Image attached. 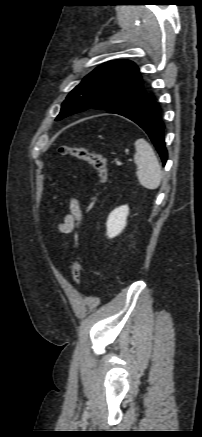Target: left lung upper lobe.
Wrapping results in <instances>:
<instances>
[{
	"label": "left lung upper lobe",
	"instance_id": "obj_1",
	"mask_svg": "<svg viewBox=\"0 0 202 437\" xmlns=\"http://www.w3.org/2000/svg\"><path fill=\"white\" fill-rule=\"evenodd\" d=\"M144 93L139 69L133 62L109 61L88 74L69 93L56 120L88 108L109 111Z\"/></svg>",
	"mask_w": 202,
	"mask_h": 437
}]
</instances>
